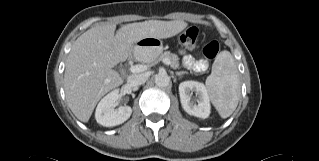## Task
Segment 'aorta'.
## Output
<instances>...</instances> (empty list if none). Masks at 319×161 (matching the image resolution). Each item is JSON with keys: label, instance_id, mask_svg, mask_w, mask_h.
<instances>
[{"label": "aorta", "instance_id": "obj_1", "mask_svg": "<svg viewBox=\"0 0 319 161\" xmlns=\"http://www.w3.org/2000/svg\"><path fill=\"white\" fill-rule=\"evenodd\" d=\"M155 83L158 87H167L170 83V77L167 73H159L156 75Z\"/></svg>", "mask_w": 319, "mask_h": 161}]
</instances>
